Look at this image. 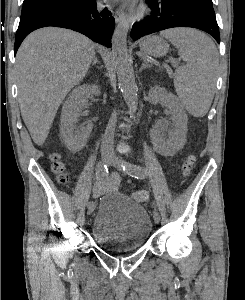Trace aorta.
Here are the masks:
<instances>
[{"label":"aorta","instance_id":"obj_1","mask_svg":"<svg viewBox=\"0 0 245 300\" xmlns=\"http://www.w3.org/2000/svg\"><path fill=\"white\" fill-rule=\"evenodd\" d=\"M128 30V20L126 17H123L116 26L112 36V54L115 62L119 88L128 106L129 114L132 115L137 110L138 95L134 72L129 61L127 49Z\"/></svg>","mask_w":245,"mask_h":300}]
</instances>
